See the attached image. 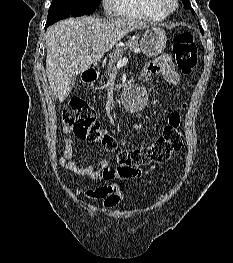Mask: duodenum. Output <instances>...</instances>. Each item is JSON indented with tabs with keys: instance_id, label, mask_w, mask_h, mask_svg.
Instances as JSON below:
<instances>
[{
	"instance_id": "1",
	"label": "duodenum",
	"mask_w": 233,
	"mask_h": 263,
	"mask_svg": "<svg viewBox=\"0 0 233 263\" xmlns=\"http://www.w3.org/2000/svg\"><path fill=\"white\" fill-rule=\"evenodd\" d=\"M125 77H128V74H125ZM97 78H98V72L93 68L86 69L82 73V80L85 83L88 84L94 83L97 80Z\"/></svg>"
}]
</instances>
